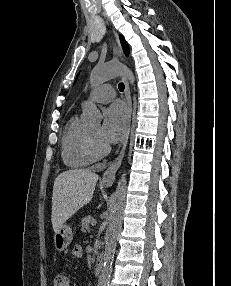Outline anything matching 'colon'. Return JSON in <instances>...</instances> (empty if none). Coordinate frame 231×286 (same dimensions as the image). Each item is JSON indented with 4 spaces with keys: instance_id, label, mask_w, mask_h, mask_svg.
Returning <instances> with one entry per match:
<instances>
[{
    "instance_id": "obj_1",
    "label": "colon",
    "mask_w": 231,
    "mask_h": 286,
    "mask_svg": "<svg viewBox=\"0 0 231 286\" xmlns=\"http://www.w3.org/2000/svg\"><path fill=\"white\" fill-rule=\"evenodd\" d=\"M53 286H71V283L66 275L57 274L53 279Z\"/></svg>"
}]
</instances>
